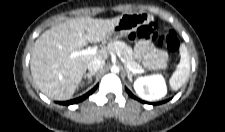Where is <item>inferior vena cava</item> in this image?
I'll use <instances>...</instances> for the list:
<instances>
[{
  "label": "inferior vena cava",
  "mask_w": 225,
  "mask_h": 132,
  "mask_svg": "<svg viewBox=\"0 0 225 132\" xmlns=\"http://www.w3.org/2000/svg\"><path fill=\"white\" fill-rule=\"evenodd\" d=\"M105 65V61L102 59H93L88 63V70L90 71V73L92 72H97L99 70H101Z\"/></svg>",
  "instance_id": "obj_1"
}]
</instances>
